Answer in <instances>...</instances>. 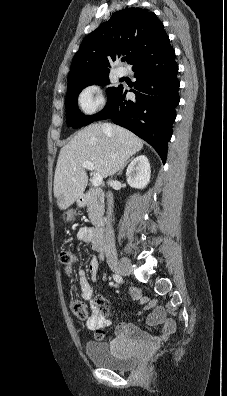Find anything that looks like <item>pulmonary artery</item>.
I'll return each mask as SVG.
<instances>
[{
	"label": "pulmonary artery",
	"mask_w": 227,
	"mask_h": 396,
	"mask_svg": "<svg viewBox=\"0 0 227 396\" xmlns=\"http://www.w3.org/2000/svg\"><path fill=\"white\" fill-rule=\"evenodd\" d=\"M116 75H117L118 77H123V76L126 75V70H125L123 67H119V68H117V70H116Z\"/></svg>",
	"instance_id": "obj_1"
}]
</instances>
